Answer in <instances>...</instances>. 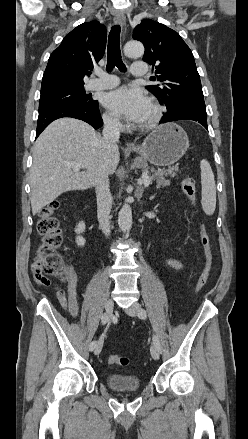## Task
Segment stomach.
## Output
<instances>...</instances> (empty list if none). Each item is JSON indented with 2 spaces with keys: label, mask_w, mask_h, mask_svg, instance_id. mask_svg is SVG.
Here are the masks:
<instances>
[{
  "label": "stomach",
  "mask_w": 248,
  "mask_h": 439,
  "mask_svg": "<svg viewBox=\"0 0 248 439\" xmlns=\"http://www.w3.org/2000/svg\"><path fill=\"white\" fill-rule=\"evenodd\" d=\"M189 147L187 133L175 123L153 130L135 149L144 159L157 166H171Z\"/></svg>",
  "instance_id": "1"
}]
</instances>
